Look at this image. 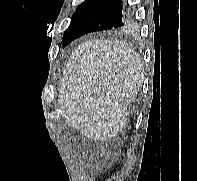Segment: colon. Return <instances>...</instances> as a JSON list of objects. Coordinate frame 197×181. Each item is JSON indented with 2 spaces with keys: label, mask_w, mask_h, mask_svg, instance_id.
Listing matches in <instances>:
<instances>
[{
  "label": "colon",
  "mask_w": 197,
  "mask_h": 181,
  "mask_svg": "<svg viewBox=\"0 0 197 181\" xmlns=\"http://www.w3.org/2000/svg\"><path fill=\"white\" fill-rule=\"evenodd\" d=\"M107 166H108V164L105 161L102 162L101 165H100V167H101L102 170L105 169V168H107Z\"/></svg>",
  "instance_id": "5ec220e1"
}]
</instances>
